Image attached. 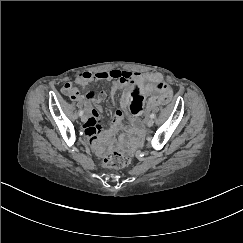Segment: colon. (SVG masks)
Returning <instances> with one entry per match:
<instances>
[{"mask_svg":"<svg viewBox=\"0 0 243 243\" xmlns=\"http://www.w3.org/2000/svg\"><path fill=\"white\" fill-rule=\"evenodd\" d=\"M170 101V97L163 99V105ZM129 163V158L121 152L113 151L105 159L104 165L110 168H123Z\"/></svg>","mask_w":243,"mask_h":243,"instance_id":"1","label":"colon"}]
</instances>
